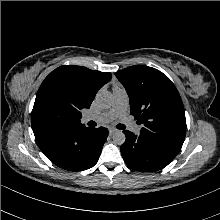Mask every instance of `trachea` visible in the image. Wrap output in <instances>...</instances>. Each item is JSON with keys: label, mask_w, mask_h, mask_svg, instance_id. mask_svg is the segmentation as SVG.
Masks as SVG:
<instances>
[{"label": "trachea", "mask_w": 220, "mask_h": 220, "mask_svg": "<svg viewBox=\"0 0 220 220\" xmlns=\"http://www.w3.org/2000/svg\"><path fill=\"white\" fill-rule=\"evenodd\" d=\"M116 127L121 130L126 128L124 124H118Z\"/></svg>", "instance_id": "1"}]
</instances>
